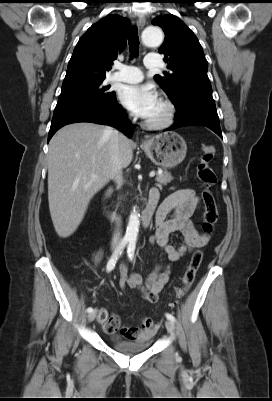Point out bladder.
Here are the masks:
<instances>
[{"mask_svg":"<svg viewBox=\"0 0 272 401\" xmlns=\"http://www.w3.org/2000/svg\"><path fill=\"white\" fill-rule=\"evenodd\" d=\"M152 343L151 335L135 342L114 341L112 346L125 354H136L147 350Z\"/></svg>","mask_w":272,"mask_h":401,"instance_id":"1","label":"bladder"}]
</instances>
